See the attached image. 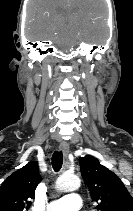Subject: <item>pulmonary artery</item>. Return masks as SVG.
I'll use <instances>...</instances> for the list:
<instances>
[{
	"instance_id": "pulmonary-artery-1",
	"label": "pulmonary artery",
	"mask_w": 133,
	"mask_h": 211,
	"mask_svg": "<svg viewBox=\"0 0 133 211\" xmlns=\"http://www.w3.org/2000/svg\"><path fill=\"white\" fill-rule=\"evenodd\" d=\"M82 207V198L78 193H70L48 203L47 211H78Z\"/></svg>"
}]
</instances>
